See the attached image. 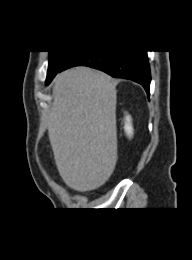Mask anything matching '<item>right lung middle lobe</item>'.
Wrapping results in <instances>:
<instances>
[{
	"label": "right lung middle lobe",
	"mask_w": 192,
	"mask_h": 260,
	"mask_svg": "<svg viewBox=\"0 0 192 260\" xmlns=\"http://www.w3.org/2000/svg\"><path fill=\"white\" fill-rule=\"evenodd\" d=\"M72 51H49V66L46 81L52 79L74 55Z\"/></svg>",
	"instance_id": "right-lung-middle-lobe-1"
}]
</instances>
